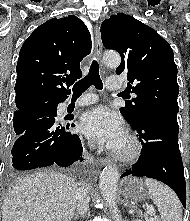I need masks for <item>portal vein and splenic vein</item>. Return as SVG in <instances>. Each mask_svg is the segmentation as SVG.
<instances>
[{
	"label": "portal vein and splenic vein",
	"instance_id": "18ae733b",
	"mask_svg": "<svg viewBox=\"0 0 190 221\" xmlns=\"http://www.w3.org/2000/svg\"><path fill=\"white\" fill-rule=\"evenodd\" d=\"M148 210L152 213L154 211L153 207H148ZM150 221H155V219L151 218Z\"/></svg>",
	"mask_w": 190,
	"mask_h": 221
}]
</instances>
